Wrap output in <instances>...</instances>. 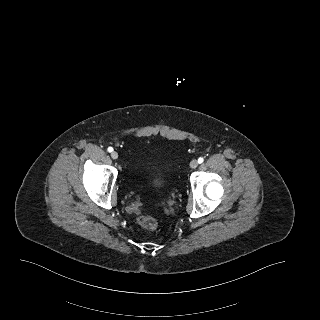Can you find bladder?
Instances as JSON below:
<instances>
[{"label":"bladder","mask_w":320,"mask_h":320,"mask_svg":"<svg viewBox=\"0 0 320 320\" xmlns=\"http://www.w3.org/2000/svg\"><path fill=\"white\" fill-rule=\"evenodd\" d=\"M163 180H155L154 182V188L161 189L163 187Z\"/></svg>","instance_id":"obj_1"}]
</instances>
